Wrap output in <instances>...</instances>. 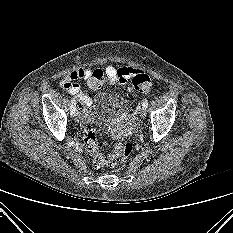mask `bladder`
<instances>
[{"label": "bladder", "mask_w": 233, "mask_h": 233, "mask_svg": "<svg viewBox=\"0 0 233 233\" xmlns=\"http://www.w3.org/2000/svg\"><path fill=\"white\" fill-rule=\"evenodd\" d=\"M130 110L128 101L116 94L107 92L98 93L88 109V117L97 124L109 122L115 117Z\"/></svg>", "instance_id": "31cf9c89"}]
</instances>
